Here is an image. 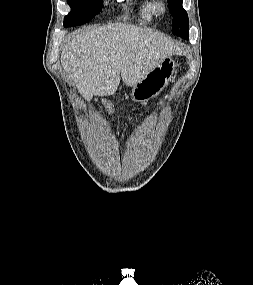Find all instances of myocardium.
<instances>
[{"instance_id":"obj_1","label":"myocardium","mask_w":253,"mask_h":285,"mask_svg":"<svg viewBox=\"0 0 253 285\" xmlns=\"http://www.w3.org/2000/svg\"><path fill=\"white\" fill-rule=\"evenodd\" d=\"M167 9V4L164 0H155L154 11L157 13H164Z\"/></svg>"}]
</instances>
